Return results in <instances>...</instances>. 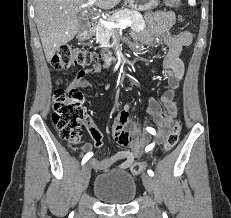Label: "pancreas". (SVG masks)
Instances as JSON below:
<instances>
[{
  "label": "pancreas",
  "instance_id": "pancreas-1",
  "mask_svg": "<svg viewBox=\"0 0 231 218\" xmlns=\"http://www.w3.org/2000/svg\"><path fill=\"white\" fill-rule=\"evenodd\" d=\"M122 20H130L132 25L130 26L132 30L140 31L145 29V22L142 18L133 10L124 8L116 11L112 16L108 17L106 21L120 22ZM96 40L101 44L102 47H111L109 40L112 37H116V30L113 28H107L103 24L99 23L96 27Z\"/></svg>",
  "mask_w": 231,
  "mask_h": 218
}]
</instances>
